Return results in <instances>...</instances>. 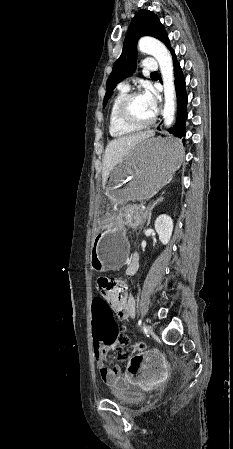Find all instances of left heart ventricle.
Here are the masks:
<instances>
[{"label":"left heart ventricle","mask_w":233,"mask_h":449,"mask_svg":"<svg viewBox=\"0 0 233 449\" xmlns=\"http://www.w3.org/2000/svg\"><path fill=\"white\" fill-rule=\"evenodd\" d=\"M130 112L136 120L141 122L149 120L154 115L143 94L131 101Z\"/></svg>","instance_id":"b2bd125f"}]
</instances>
